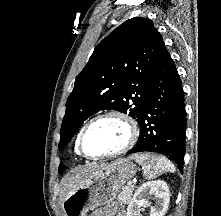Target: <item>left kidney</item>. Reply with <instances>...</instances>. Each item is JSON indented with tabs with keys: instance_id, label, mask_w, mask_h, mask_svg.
<instances>
[{
	"instance_id": "obj_1",
	"label": "left kidney",
	"mask_w": 221,
	"mask_h": 216,
	"mask_svg": "<svg viewBox=\"0 0 221 216\" xmlns=\"http://www.w3.org/2000/svg\"><path fill=\"white\" fill-rule=\"evenodd\" d=\"M154 195L155 206L150 216H164L170 201L169 187L165 181L156 180L143 183L135 192L127 208V216H140L139 209L145 205L146 197Z\"/></svg>"
}]
</instances>
